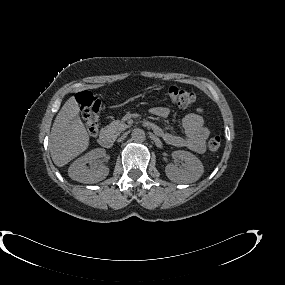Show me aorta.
I'll use <instances>...</instances> for the list:
<instances>
[{
	"label": "aorta",
	"instance_id": "obj_1",
	"mask_svg": "<svg viewBox=\"0 0 285 285\" xmlns=\"http://www.w3.org/2000/svg\"><path fill=\"white\" fill-rule=\"evenodd\" d=\"M132 138L136 142H143L146 138V135L142 129L137 128L132 131Z\"/></svg>",
	"mask_w": 285,
	"mask_h": 285
}]
</instances>
